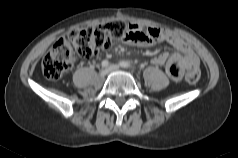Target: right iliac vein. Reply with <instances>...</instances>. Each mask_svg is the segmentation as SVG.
I'll return each instance as SVG.
<instances>
[{"label":"right iliac vein","mask_w":238,"mask_h":158,"mask_svg":"<svg viewBox=\"0 0 238 158\" xmlns=\"http://www.w3.org/2000/svg\"><path fill=\"white\" fill-rule=\"evenodd\" d=\"M99 74H100V77L103 78L108 74V70L107 69H102Z\"/></svg>","instance_id":"1"}]
</instances>
